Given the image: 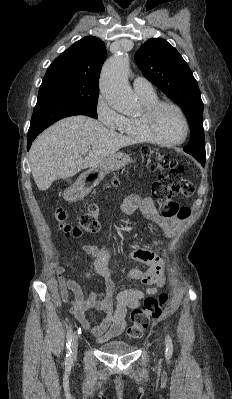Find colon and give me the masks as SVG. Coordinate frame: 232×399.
<instances>
[{"label":"colon","mask_w":232,"mask_h":399,"mask_svg":"<svg viewBox=\"0 0 232 399\" xmlns=\"http://www.w3.org/2000/svg\"><path fill=\"white\" fill-rule=\"evenodd\" d=\"M145 158L142 160V165H149V168H157V172H168V175H156L158 185L152 186V191L159 196H192L196 187L193 182L187 180L186 175H182V170H175L181 168V163H177L175 159L166 155L160 154L153 147H148L144 151ZM163 180H167L164 181ZM175 198H155V203H163L161 212L164 218H187L188 208L182 207V203H175ZM101 207V202L97 198H92L85 205V214L79 222L70 223L65 212L61 209H56L52 213L53 221L60 231H66L65 238L73 237L78 239V236L86 232H99V222L96 219L98 216V209ZM166 296H146V301H166ZM146 308H149L148 310ZM160 315V307H156V303H145V308H140L135 313H131V325L129 334L132 338H141L145 334L146 327H148Z\"/></svg>","instance_id":"1"}]
</instances>
